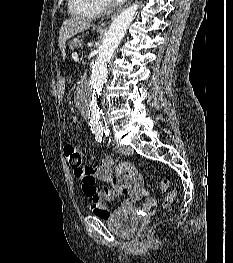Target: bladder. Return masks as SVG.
I'll use <instances>...</instances> for the list:
<instances>
[{
	"label": "bladder",
	"instance_id": "1",
	"mask_svg": "<svg viewBox=\"0 0 233 263\" xmlns=\"http://www.w3.org/2000/svg\"><path fill=\"white\" fill-rule=\"evenodd\" d=\"M138 220L133 208H118L106 219V224L118 236L130 238L136 232Z\"/></svg>",
	"mask_w": 233,
	"mask_h": 263
}]
</instances>
